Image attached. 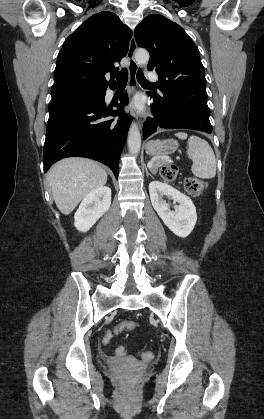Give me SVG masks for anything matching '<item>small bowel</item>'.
Here are the masks:
<instances>
[{
    "label": "small bowel",
    "instance_id": "c3829d8e",
    "mask_svg": "<svg viewBox=\"0 0 264 419\" xmlns=\"http://www.w3.org/2000/svg\"><path fill=\"white\" fill-rule=\"evenodd\" d=\"M120 330H122L121 325H120V326H118V327L115 329V332L120 331ZM125 354H126L125 348H124V347H122V346L117 347V348L115 349V351H114V355H115L116 357H122V356H124Z\"/></svg>",
    "mask_w": 264,
    "mask_h": 419
}]
</instances>
